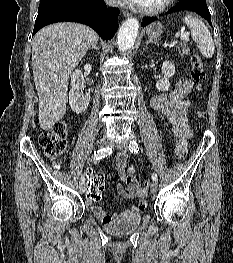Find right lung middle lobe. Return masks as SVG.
Listing matches in <instances>:
<instances>
[{
  "label": "right lung middle lobe",
  "mask_w": 233,
  "mask_h": 263,
  "mask_svg": "<svg viewBox=\"0 0 233 263\" xmlns=\"http://www.w3.org/2000/svg\"><path fill=\"white\" fill-rule=\"evenodd\" d=\"M79 0H41L38 16L56 9H74Z\"/></svg>",
  "instance_id": "right-lung-middle-lobe-1"
}]
</instances>
